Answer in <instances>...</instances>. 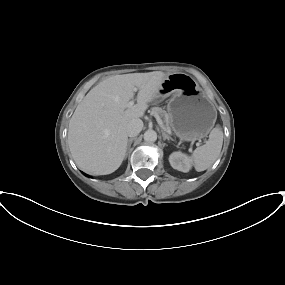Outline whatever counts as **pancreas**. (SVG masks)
Segmentation results:
<instances>
[{"label": "pancreas", "mask_w": 285, "mask_h": 285, "mask_svg": "<svg viewBox=\"0 0 285 285\" xmlns=\"http://www.w3.org/2000/svg\"><path fill=\"white\" fill-rule=\"evenodd\" d=\"M152 112H154V113L158 114L159 116H161L163 118V122L165 123V125L167 127H169V124H170L169 116H168V114L166 113L165 110H163L160 107H153L152 108Z\"/></svg>", "instance_id": "pancreas-1"}]
</instances>
